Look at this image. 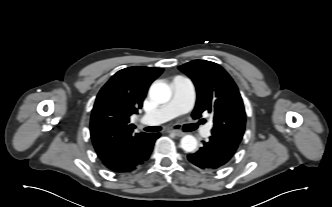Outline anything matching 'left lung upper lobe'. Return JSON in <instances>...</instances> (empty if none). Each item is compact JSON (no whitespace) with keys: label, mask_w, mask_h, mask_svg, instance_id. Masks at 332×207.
<instances>
[{"label":"left lung upper lobe","mask_w":332,"mask_h":207,"mask_svg":"<svg viewBox=\"0 0 332 207\" xmlns=\"http://www.w3.org/2000/svg\"><path fill=\"white\" fill-rule=\"evenodd\" d=\"M188 75L197 91L192 112L200 119L204 111L213 115L212 135L239 144L245 130L246 114L239 90L229 74L218 64L194 60L179 66Z\"/></svg>","instance_id":"obj_1"}]
</instances>
